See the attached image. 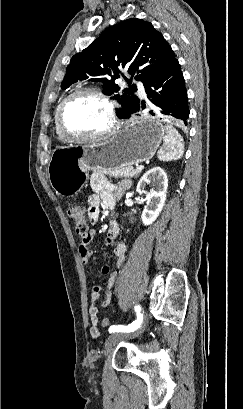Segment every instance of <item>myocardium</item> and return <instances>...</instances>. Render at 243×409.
I'll return each mask as SVG.
<instances>
[{
    "label": "myocardium",
    "instance_id": "myocardium-1",
    "mask_svg": "<svg viewBox=\"0 0 243 409\" xmlns=\"http://www.w3.org/2000/svg\"><path fill=\"white\" fill-rule=\"evenodd\" d=\"M79 95L94 96L106 105L108 109L110 124L105 130H103L102 132L96 133V134H92V135H77V134L70 133L66 129L65 124H64V115H65L67 106L72 99H74L75 97ZM57 123H58V128L61 134L68 141H77V142L95 141V140L104 139L114 134L120 127V122L117 116L115 103L107 94H105L104 92L96 88H80L70 93L68 96H66L60 104L58 114H57Z\"/></svg>",
    "mask_w": 243,
    "mask_h": 409
}]
</instances>
